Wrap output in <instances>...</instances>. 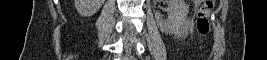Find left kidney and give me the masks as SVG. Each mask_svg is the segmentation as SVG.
<instances>
[{
	"label": "left kidney",
	"mask_w": 267,
	"mask_h": 60,
	"mask_svg": "<svg viewBox=\"0 0 267 60\" xmlns=\"http://www.w3.org/2000/svg\"><path fill=\"white\" fill-rule=\"evenodd\" d=\"M169 16L162 19L160 15H155V19L160 31L173 34L181 30L186 22L189 12V6L184 0H169L168 2Z\"/></svg>",
	"instance_id": "1"
}]
</instances>
